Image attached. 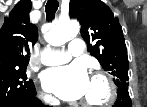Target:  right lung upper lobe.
Listing matches in <instances>:
<instances>
[{
  "mask_svg": "<svg viewBox=\"0 0 147 107\" xmlns=\"http://www.w3.org/2000/svg\"><path fill=\"white\" fill-rule=\"evenodd\" d=\"M31 0H20L0 29V72L27 66L38 29L30 23Z\"/></svg>",
  "mask_w": 147,
  "mask_h": 107,
  "instance_id": "obj_1",
  "label": "right lung upper lobe"
}]
</instances>
